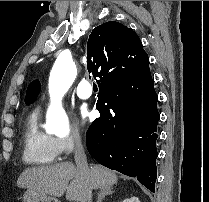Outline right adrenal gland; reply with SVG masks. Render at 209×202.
Returning a JSON list of instances; mask_svg holds the SVG:
<instances>
[{
	"mask_svg": "<svg viewBox=\"0 0 209 202\" xmlns=\"http://www.w3.org/2000/svg\"><path fill=\"white\" fill-rule=\"evenodd\" d=\"M114 191L112 188H105V189H100L98 193V200L97 202H102V200L107 196V195H112Z\"/></svg>",
	"mask_w": 209,
	"mask_h": 202,
	"instance_id": "obj_1",
	"label": "right adrenal gland"
}]
</instances>
